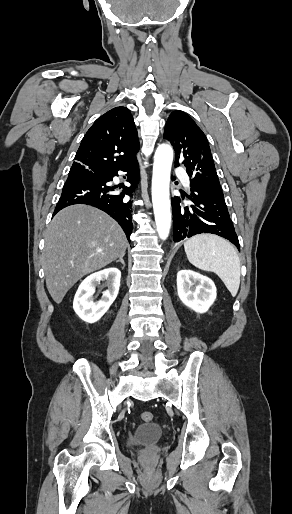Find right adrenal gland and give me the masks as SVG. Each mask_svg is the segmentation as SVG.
Listing matches in <instances>:
<instances>
[{
  "label": "right adrenal gland",
  "mask_w": 292,
  "mask_h": 514,
  "mask_svg": "<svg viewBox=\"0 0 292 514\" xmlns=\"http://www.w3.org/2000/svg\"><path fill=\"white\" fill-rule=\"evenodd\" d=\"M117 262H121V264H123V268H125L126 264L123 260V256H121V258H119V260H117Z\"/></svg>",
  "instance_id": "2a0ac1e0"
}]
</instances>
